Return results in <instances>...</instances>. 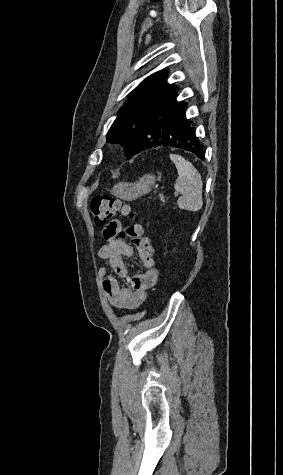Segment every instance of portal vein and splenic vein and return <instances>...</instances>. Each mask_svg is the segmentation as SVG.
Wrapping results in <instances>:
<instances>
[{
	"instance_id": "obj_1",
	"label": "portal vein and splenic vein",
	"mask_w": 283,
	"mask_h": 475,
	"mask_svg": "<svg viewBox=\"0 0 283 475\" xmlns=\"http://www.w3.org/2000/svg\"><path fill=\"white\" fill-rule=\"evenodd\" d=\"M174 194L178 197V196H179V195H178V194H179V191H178V190H175V191H174Z\"/></svg>"
}]
</instances>
